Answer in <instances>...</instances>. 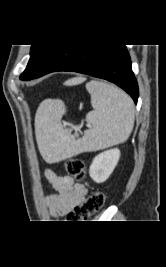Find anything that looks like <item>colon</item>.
Instances as JSON below:
<instances>
[{
  "label": "colon",
  "instance_id": "colon-1",
  "mask_svg": "<svg viewBox=\"0 0 166 267\" xmlns=\"http://www.w3.org/2000/svg\"><path fill=\"white\" fill-rule=\"evenodd\" d=\"M65 168L67 173L78 181H82L86 175L85 165L82 160L72 158L66 161ZM105 202V196L100 191L91 193L86 200L74 207L67 215V222H84L91 215L101 209Z\"/></svg>",
  "mask_w": 166,
  "mask_h": 267
}]
</instances>
